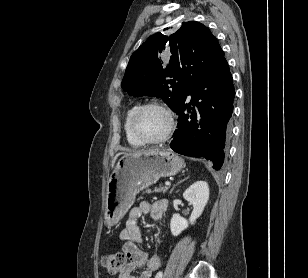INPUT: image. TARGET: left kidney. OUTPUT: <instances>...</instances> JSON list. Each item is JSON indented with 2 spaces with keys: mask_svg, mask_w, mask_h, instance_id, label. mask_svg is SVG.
Listing matches in <instances>:
<instances>
[{
  "mask_svg": "<svg viewBox=\"0 0 308 278\" xmlns=\"http://www.w3.org/2000/svg\"><path fill=\"white\" fill-rule=\"evenodd\" d=\"M183 197L193 206V211L188 221L180 215L174 214L171 218L170 229L173 236H178L189 224H194L199 218L209 200V187L205 181H197L184 193Z\"/></svg>",
  "mask_w": 308,
  "mask_h": 278,
  "instance_id": "obj_1",
  "label": "left kidney"
}]
</instances>
